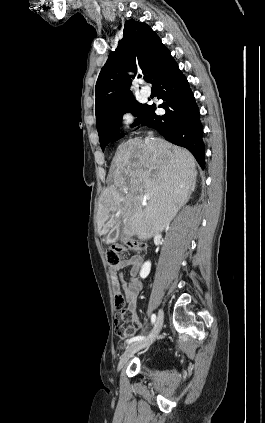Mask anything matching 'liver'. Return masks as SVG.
<instances>
[{
    "label": "liver",
    "mask_w": 265,
    "mask_h": 423,
    "mask_svg": "<svg viewBox=\"0 0 265 423\" xmlns=\"http://www.w3.org/2000/svg\"><path fill=\"white\" fill-rule=\"evenodd\" d=\"M196 176V160L186 149L163 139L146 143L134 138L121 143L110 168L113 184L99 199V235L121 220L125 236H155L189 200Z\"/></svg>",
    "instance_id": "liver-1"
}]
</instances>
